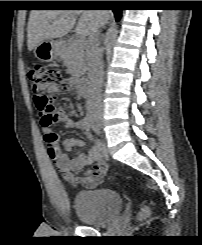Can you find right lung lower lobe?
<instances>
[{
  "label": "right lung lower lobe",
  "mask_w": 202,
  "mask_h": 245,
  "mask_svg": "<svg viewBox=\"0 0 202 245\" xmlns=\"http://www.w3.org/2000/svg\"><path fill=\"white\" fill-rule=\"evenodd\" d=\"M101 6L111 7V10L114 12L116 21L120 20L122 10L119 8V1H104Z\"/></svg>",
  "instance_id": "obj_1"
}]
</instances>
